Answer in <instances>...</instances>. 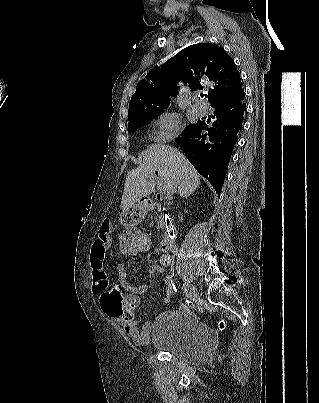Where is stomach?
<instances>
[{
    "label": "stomach",
    "mask_w": 319,
    "mask_h": 403,
    "mask_svg": "<svg viewBox=\"0 0 319 403\" xmlns=\"http://www.w3.org/2000/svg\"><path fill=\"white\" fill-rule=\"evenodd\" d=\"M117 217L120 221V228H125V226H135L136 224H141L143 215L137 206H132L125 210H119L117 212Z\"/></svg>",
    "instance_id": "1"
}]
</instances>
